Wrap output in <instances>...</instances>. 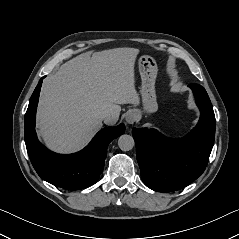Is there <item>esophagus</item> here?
Masks as SVG:
<instances>
[{
	"label": "esophagus",
	"mask_w": 239,
	"mask_h": 239,
	"mask_svg": "<svg viewBox=\"0 0 239 239\" xmlns=\"http://www.w3.org/2000/svg\"><path fill=\"white\" fill-rule=\"evenodd\" d=\"M126 123L127 124H134L137 120V114L134 111H131L126 116Z\"/></svg>",
	"instance_id": "34e87169"
}]
</instances>
